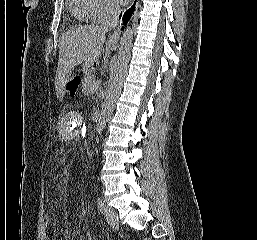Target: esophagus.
Returning <instances> with one entry per match:
<instances>
[{"instance_id": "34e87169", "label": "esophagus", "mask_w": 257, "mask_h": 240, "mask_svg": "<svg viewBox=\"0 0 257 240\" xmlns=\"http://www.w3.org/2000/svg\"><path fill=\"white\" fill-rule=\"evenodd\" d=\"M120 34H121L120 28L115 29L114 32L109 37V43H112V44L117 43L120 38Z\"/></svg>"}]
</instances>
